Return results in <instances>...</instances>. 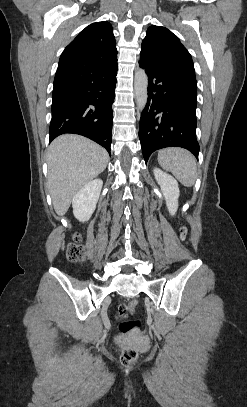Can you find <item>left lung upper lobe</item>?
<instances>
[{
    "label": "left lung upper lobe",
    "instance_id": "5c2ea615",
    "mask_svg": "<svg viewBox=\"0 0 247 407\" xmlns=\"http://www.w3.org/2000/svg\"><path fill=\"white\" fill-rule=\"evenodd\" d=\"M140 57L158 68L195 76L190 53L165 27L154 25L147 29Z\"/></svg>",
    "mask_w": 247,
    "mask_h": 407
}]
</instances>
